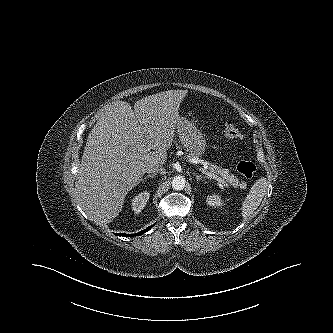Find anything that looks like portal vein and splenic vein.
I'll use <instances>...</instances> for the list:
<instances>
[{"label": "portal vein and splenic vein", "mask_w": 333, "mask_h": 333, "mask_svg": "<svg viewBox=\"0 0 333 333\" xmlns=\"http://www.w3.org/2000/svg\"><path fill=\"white\" fill-rule=\"evenodd\" d=\"M192 163H204L202 160H198V159H191ZM202 173L207 175L209 178H212L214 180H216L218 183H220L222 186L226 187V188H230L229 185L220 177H218L217 175L213 174L212 172H209L205 169H202Z\"/></svg>", "instance_id": "1"}]
</instances>
